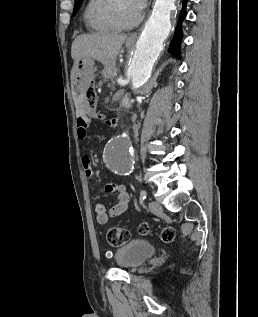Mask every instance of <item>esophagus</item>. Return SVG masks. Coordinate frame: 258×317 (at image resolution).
Instances as JSON below:
<instances>
[{
	"instance_id": "esophagus-1",
	"label": "esophagus",
	"mask_w": 258,
	"mask_h": 317,
	"mask_svg": "<svg viewBox=\"0 0 258 317\" xmlns=\"http://www.w3.org/2000/svg\"><path fill=\"white\" fill-rule=\"evenodd\" d=\"M137 38V32L131 33L128 35V39L129 40H134Z\"/></svg>"
}]
</instances>
